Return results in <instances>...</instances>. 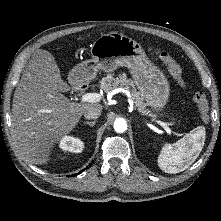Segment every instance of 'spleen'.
I'll return each instance as SVG.
<instances>
[{"label":"spleen","instance_id":"obj_1","mask_svg":"<svg viewBox=\"0 0 221 221\" xmlns=\"http://www.w3.org/2000/svg\"><path fill=\"white\" fill-rule=\"evenodd\" d=\"M206 131L199 126L174 144H164L158 165L166 173L176 174L189 168L203 149Z\"/></svg>","mask_w":221,"mask_h":221}]
</instances>
